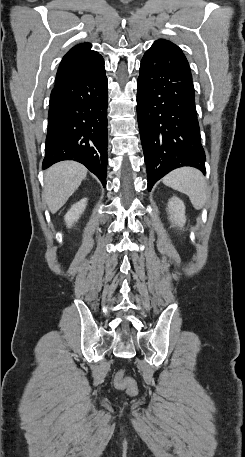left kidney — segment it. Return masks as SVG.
<instances>
[{
    "label": "left kidney",
    "mask_w": 245,
    "mask_h": 457,
    "mask_svg": "<svg viewBox=\"0 0 245 457\" xmlns=\"http://www.w3.org/2000/svg\"><path fill=\"white\" fill-rule=\"evenodd\" d=\"M169 218L174 226H184L186 222L185 204L178 196H173L168 202Z\"/></svg>",
    "instance_id": "obj_1"
}]
</instances>
